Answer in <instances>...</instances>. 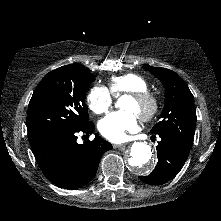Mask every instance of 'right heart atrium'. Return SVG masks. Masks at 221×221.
<instances>
[{"label": "right heart atrium", "mask_w": 221, "mask_h": 221, "mask_svg": "<svg viewBox=\"0 0 221 221\" xmlns=\"http://www.w3.org/2000/svg\"><path fill=\"white\" fill-rule=\"evenodd\" d=\"M86 102L93 113L103 114L112 106L113 95L104 86H94L88 92Z\"/></svg>", "instance_id": "1"}]
</instances>
